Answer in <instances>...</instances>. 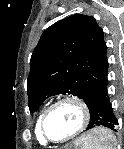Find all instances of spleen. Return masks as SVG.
<instances>
[{"label": "spleen", "mask_w": 124, "mask_h": 149, "mask_svg": "<svg viewBox=\"0 0 124 149\" xmlns=\"http://www.w3.org/2000/svg\"><path fill=\"white\" fill-rule=\"evenodd\" d=\"M97 129L95 136L84 140V149H113L116 138L107 129Z\"/></svg>", "instance_id": "spleen-1"}]
</instances>
